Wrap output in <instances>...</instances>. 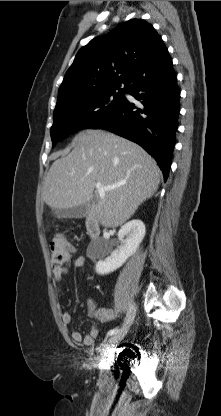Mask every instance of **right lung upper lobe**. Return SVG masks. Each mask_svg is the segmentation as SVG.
<instances>
[{"instance_id":"obj_1","label":"right lung upper lobe","mask_w":221,"mask_h":416,"mask_svg":"<svg viewBox=\"0 0 221 416\" xmlns=\"http://www.w3.org/2000/svg\"><path fill=\"white\" fill-rule=\"evenodd\" d=\"M171 70L168 49L153 26L131 19L78 51L59 88L56 106L101 91L130 90L166 78Z\"/></svg>"}]
</instances>
